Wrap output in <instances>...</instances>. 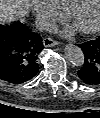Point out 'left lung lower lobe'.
Returning a JSON list of instances; mask_svg holds the SVG:
<instances>
[{
  "label": "left lung lower lobe",
  "mask_w": 100,
  "mask_h": 118,
  "mask_svg": "<svg viewBox=\"0 0 100 118\" xmlns=\"http://www.w3.org/2000/svg\"><path fill=\"white\" fill-rule=\"evenodd\" d=\"M79 47L85 57L83 67L78 71L79 79L87 85H100V36Z\"/></svg>",
  "instance_id": "0a47b994"
}]
</instances>
